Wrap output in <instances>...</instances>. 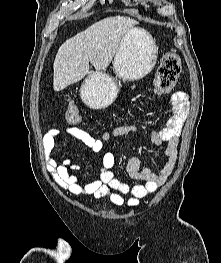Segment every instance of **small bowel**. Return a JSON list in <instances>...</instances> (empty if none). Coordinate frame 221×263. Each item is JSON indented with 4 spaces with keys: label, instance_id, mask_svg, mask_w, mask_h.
<instances>
[{
    "label": "small bowel",
    "instance_id": "small-bowel-1",
    "mask_svg": "<svg viewBox=\"0 0 221 263\" xmlns=\"http://www.w3.org/2000/svg\"><path fill=\"white\" fill-rule=\"evenodd\" d=\"M171 116L165 126L160 130L150 132L151 142L155 146L166 144L165 155L168 160L159 170L154 172L148 168L140 167V160L131 157L127 161L126 172L130 179L142 181L141 184L130 186L119 180L111 171L115 164L112 153H105L102 157V167L97 179L82 184L79 178L80 167L71 156L56 159L52 158L47 164L54 182L71 195H92L96 198L109 197L116 206L126 205L135 208L142 199L155 192L172 174L178 159V144L184 121L188 114V96L184 92H175L170 97ZM138 128L135 125H119L102 133L98 138L92 132L77 126H69L66 129H51L43 140L44 150L50 154L56 150L64 133L81 141L93 151H100L105 142L112 138L122 137L135 133ZM127 197V198H126Z\"/></svg>",
    "mask_w": 221,
    "mask_h": 263
}]
</instances>
